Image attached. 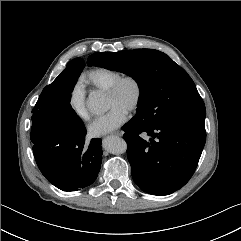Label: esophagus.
<instances>
[{"label":"esophagus","instance_id":"1","mask_svg":"<svg viewBox=\"0 0 241 241\" xmlns=\"http://www.w3.org/2000/svg\"><path fill=\"white\" fill-rule=\"evenodd\" d=\"M113 135L121 136L122 132L121 131H117V132H114Z\"/></svg>","mask_w":241,"mask_h":241}]
</instances>
